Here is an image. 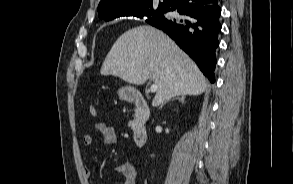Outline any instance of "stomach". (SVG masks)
Segmentation results:
<instances>
[{
  "label": "stomach",
  "instance_id": "obj_1",
  "mask_svg": "<svg viewBox=\"0 0 293 184\" xmlns=\"http://www.w3.org/2000/svg\"><path fill=\"white\" fill-rule=\"evenodd\" d=\"M118 95L126 101H133L138 96V91L130 86L122 87L118 90Z\"/></svg>",
  "mask_w": 293,
  "mask_h": 184
}]
</instances>
